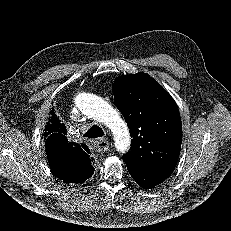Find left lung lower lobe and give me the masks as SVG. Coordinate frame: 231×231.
<instances>
[{
    "label": "left lung lower lobe",
    "mask_w": 231,
    "mask_h": 231,
    "mask_svg": "<svg viewBox=\"0 0 231 231\" xmlns=\"http://www.w3.org/2000/svg\"><path fill=\"white\" fill-rule=\"evenodd\" d=\"M128 170L132 178L145 189H150L160 184L173 172V170L141 169L133 167H128Z\"/></svg>",
    "instance_id": "left-lung-lower-lobe-1"
}]
</instances>
